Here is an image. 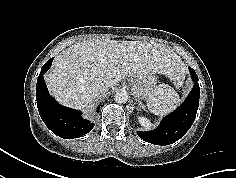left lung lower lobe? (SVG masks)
Masks as SVG:
<instances>
[{
	"mask_svg": "<svg viewBox=\"0 0 236 178\" xmlns=\"http://www.w3.org/2000/svg\"><path fill=\"white\" fill-rule=\"evenodd\" d=\"M189 71L195 85L184 103L166 116L157 129L149 132H137L141 139L156 145H169L180 139L192 126L199 105L200 88L195 71L191 67H189Z\"/></svg>",
	"mask_w": 236,
	"mask_h": 178,
	"instance_id": "obj_1",
	"label": "left lung lower lobe"
}]
</instances>
